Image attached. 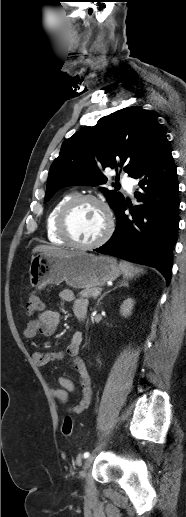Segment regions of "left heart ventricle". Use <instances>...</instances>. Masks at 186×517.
<instances>
[{
	"label": "left heart ventricle",
	"mask_w": 186,
	"mask_h": 517,
	"mask_svg": "<svg viewBox=\"0 0 186 517\" xmlns=\"http://www.w3.org/2000/svg\"><path fill=\"white\" fill-rule=\"evenodd\" d=\"M106 223L105 213L99 205L93 202H83L71 214L69 229L76 241L91 243L102 235Z\"/></svg>",
	"instance_id": "left-heart-ventricle-1"
}]
</instances>
